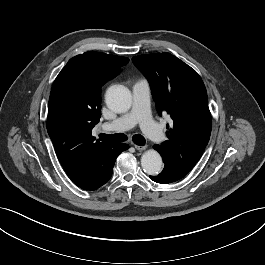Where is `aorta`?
Listing matches in <instances>:
<instances>
[{
    "label": "aorta",
    "mask_w": 265,
    "mask_h": 265,
    "mask_svg": "<svg viewBox=\"0 0 265 265\" xmlns=\"http://www.w3.org/2000/svg\"><path fill=\"white\" fill-rule=\"evenodd\" d=\"M105 100L108 108L116 113L128 111L132 104L131 92L123 85L109 87ZM141 166L148 175H158L163 167L162 157L156 150H147L141 157Z\"/></svg>",
    "instance_id": "762f6f07"
}]
</instances>
